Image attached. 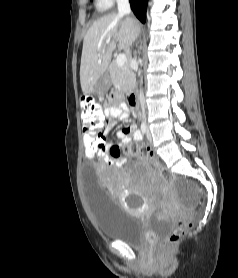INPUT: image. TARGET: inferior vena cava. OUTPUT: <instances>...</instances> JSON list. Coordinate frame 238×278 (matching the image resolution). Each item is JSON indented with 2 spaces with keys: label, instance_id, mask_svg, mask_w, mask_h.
I'll list each match as a JSON object with an SVG mask.
<instances>
[{
  "label": "inferior vena cava",
  "instance_id": "1",
  "mask_svg": "<svg viewBox=\"0 0 238 278\" xmlns=\"http://www.w3.org/2000/svg\"><path fill=\"white\" fill-rule=\"evenodd\" d=\"M118 11L120 15H129L131 12L129 0H117ZM139 100L142 109V116L145 118V99L142 91H140Z\"/></svg>",
  "mask_w": 238,
  "mask_h": 278
}]
</instances>
